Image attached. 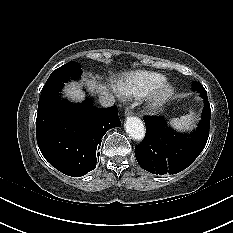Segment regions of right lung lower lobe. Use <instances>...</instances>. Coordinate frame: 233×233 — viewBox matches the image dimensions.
Instances as JSON below:
<instances>
[{"label":"right lung lower lobe","mask_w":233,"mask_h":233,"mask_svg":"<svg viewBox=\"0 0 233 233\" xmlns=\"http://www.w3.org/2000/svg\"><path fill=\"white\" fill-rule=\"evenodd\" d=\"M121 125L116 106L100 109L86 100L62 103L36 119V137L45 159L71 177L83 176L96 167L104 134Z\"/></svg>","instance_id":"obj_1"}]
</instances>
